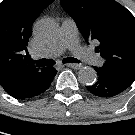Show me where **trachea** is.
Wrapping results in <instances>:
<instances>
[{
	"instance_id": "3493384b",
	"label": "trachea",
	"mask_w": 135,
	"mask_h": 135,
	"mask_svg": "<svg viewBox=\"0 0 135 135\" xmlns=\"http://www.w3.org/2000/svg\"><path fill=\"white\" fill-rule=\"evenodd\" d=\"M63 63H80V61L73 57H67L63 59ZM54 64H55V61L52 59H41L36 62V65L38 67L53 66Z\"/></svg>"
}]
</instances>
